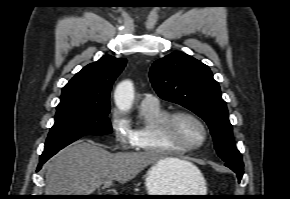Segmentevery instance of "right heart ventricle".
Wrapping results in <instances>:
<instances>
[{
    "instance_id": "right-heart-ventricle-1",
    "label": "right heart ventricle",
    "mask_w": 290,
    "mask_h": 199,
    "mask_svg": "<svg viewBox=\"0 0 290 199\" xmlns=\"http://www.w3.org/2000/svg\"><path fill=\"white\" fill-rule=\"evenodd\" d=\"M168 115L160 105H140L139 120L131 127L132 147L135 151L158 155L179 156L183 152L169 148L159 135V125Z\"/></svg>"
}]
</instances>
